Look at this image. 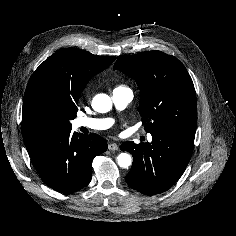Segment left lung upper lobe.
<instances>
[{
	"label": "left lung upper lobe",
	"mask_w": 236,
	"mask_h": 236,
	"mask_svg": "<svg viewBox=\"0 0 236 236\" xmlns=\"http://www.w3.org/2000/svg\"><path fill=\"white\" fill-rule=\"evenodd\" d=\"M114 69L134 78L141 88L139 113L147 132L195 134L196 92L187 69L177 58L146 51L118 59Z\"/></svg>",
	"instance_id": "left-lung-upper-lobe-1"
}]
</instances>
